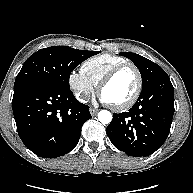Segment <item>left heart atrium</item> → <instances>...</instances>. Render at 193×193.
<instances>
[{"instance_id": "39dd6f15", "label": "left heart atrium", "mask_w": 193, "mask_h": 193, "mask_svg": "<svg viewBox=\"0 0 193 193\" xmlns=\"http://www.w3.org/2000/svg\"><path fill=\"white\" fill-rule=\"evenodd\" d=\"M100 100H101L102 102H104V103L109 104V102L107 101V99H106L103 95L100 96Z\"/></svg>"}]
</instances>
